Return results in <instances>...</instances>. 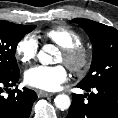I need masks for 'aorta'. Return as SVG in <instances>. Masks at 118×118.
Returning <instances> with one entry per match:
<instances>
[{"mask_svg": "<svg viewBox=\"0 0 118 118\" xmlns=\"http://www.w3.org/2000/svg\"><path fill=\"white\" fill-rule=\"evenodd\" d=\"M55 52L53 45H45L38 54V59L41 64L48 65L52 63V54ZM55 106L61 110H67L71 105V100L66 94H59L54 99Z\"/></svg>", "mask_w": 118, "mask_h": 118, "instance_id": "1", "label": "aorta"}]
</instances>
